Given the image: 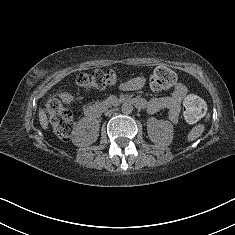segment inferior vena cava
<instances>
[{
  "label": "inferior vena cava",
  "instance_id": "inferior-vena-cava-1",
  "mask_svg": "<svg viewBox=\"0 0 235 235\" xmlns=\"http://www.w3.org/2000/svg\"><path fill=\"white\" fill-rule=\"evenodd\" d=\"M114 112V110H108L107 112H105L106 115H111Z\"/></svg>",
  "mask_w": 235,
  "mask_h": 235
}]
</instances>
